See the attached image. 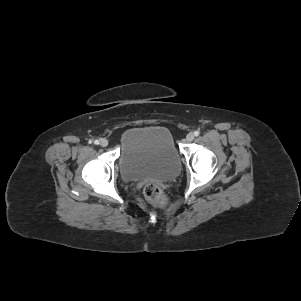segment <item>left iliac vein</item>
I'll list each match as a JSON object with an SVG mask.
<instances>
[{
  "instance_id": "4c4485c4",
  "label": "left iliac vein",
  "mask_w": 301,
  "mask_h": 301,
  "mask_svg": "<svg viewBox=\"0 0 301 301\" xmlns=\"http://www.w3.org/2000/svg\"><path fill=\"white\" fill-rule=\"evenodd\" d=\"M186 140L188 142H191L194 140V134L193 133H188L187 136H186Z\"/></svg>"
}]
</instances>
